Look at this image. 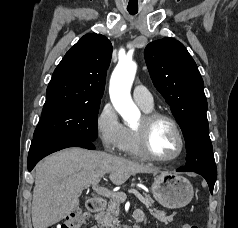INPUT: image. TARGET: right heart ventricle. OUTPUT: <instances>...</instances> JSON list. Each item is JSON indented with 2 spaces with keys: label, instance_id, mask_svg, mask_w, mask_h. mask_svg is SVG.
<instances>
[{
  "label": "right heart ventricle",
  "instance_id": "obj_1",
  "mask_svg": "<svg viewBox=\"0 0 238 228\" xmlns=\"http://www.w3.org/2000/svg\"><path fill=\"white\" fill-rule=\"evenodd\" d=\"M146 113L151 112V109H144L142 108ZM122 151L135 158L140 159H146L147 157L143 154L141 151V148L139 146L137 133L134 128L132 127H126V137L122 146Z\"/></svg>",
  "mask_w": 238,
  "mask_h": 228
}]
</instances>
